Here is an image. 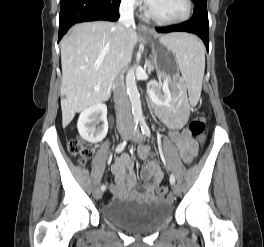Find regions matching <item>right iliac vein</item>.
Masks as SVG:
<instances>
[{
    "instance_id": "1",
    "label": "right iliac vein",
    "mask_w": 264,
    "mask_h": 247,
    "mask_svg": "<svg viewBox=\"0 0 264 247\" xmlns=\"http://www.w3.org/2000/svg\"><path fill=\"white\" fill-rule=\"evenodd\" d=\"M128 135H129V130H123L121 132V137L123 139H126L128 137ZM94 197H95L96 200L101 199V197H102V191L100 189H98V188L95 189V191H94Z\"/></svg>"
}]
</instances>
